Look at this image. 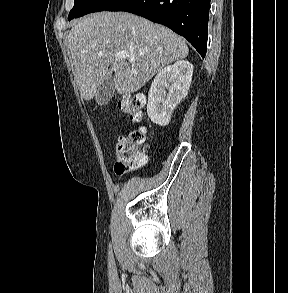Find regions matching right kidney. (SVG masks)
Returning <instances> with one entry per match:
<instances>
[{"label": "right kidney", "mask_w": 288, "mask_h": 293, "mask_svg": "<svg viewBox=\"0 0 288 293\" xmlns=\"http://www.w3.org/2000/svg\"><path fill=\"white\" fill-rule=\"evenodd\" d=\"M192 75L193 65L185 60L158 72L148 93L147 114L153 123L160 126L169 123L174 109L188 94Z\"/></svg>", "instance_id": "ca27d5eb"}]
</instances>
